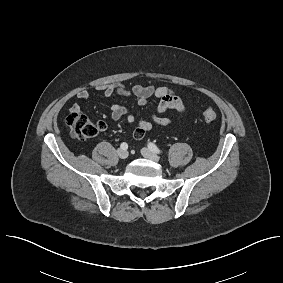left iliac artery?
<instances>
[{
  "instance_id": "44dca946",
  "label": "left iliac artery",
  "mask_w": 283,
  "mask_h": 283,
  "mask_svg": "<svg viewBox=\"0 0 283 283\" xmlns=\"http://www.w3.org/2000/svg\"><path fill=\"white\" fill-rule=\"evenodd\" d=\"M148 148L154 153H161V150L154 143H149Z\"/></svg>"
}]
</instances>
